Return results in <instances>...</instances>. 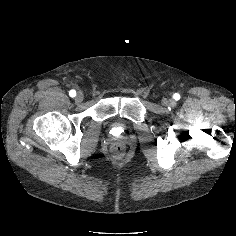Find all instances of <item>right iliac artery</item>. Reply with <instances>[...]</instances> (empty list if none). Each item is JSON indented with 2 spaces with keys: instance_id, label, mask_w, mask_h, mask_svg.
<instances>
[{
  "instance_id": "right-iliac-artery-1",
  "label": "right iliac artery",
  "mask_w": 236,
  "mask_h": 236,
  "mask_svg": "<svg viewBox=\"0 0 236 236\" xmlns=\"http://www.w3.org/2000/svg\"><path fill=\"white\" fill-rule=\"evenodd\" d=\"M69 95H70L71 97H75V96H76V91H75V90H70V91H69Z\"/></svg>"
}]
</instances>
